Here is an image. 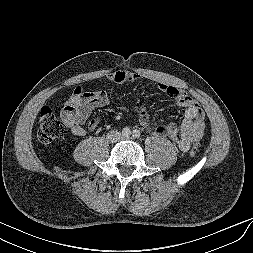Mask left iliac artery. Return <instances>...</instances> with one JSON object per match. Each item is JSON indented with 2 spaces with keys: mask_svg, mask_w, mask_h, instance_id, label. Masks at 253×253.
Instances as JSON below:
<instances>
[{
  "mask_svg": "<svg viewBox=\"0 0 253 253\" xmlns=\"http://www.w3.org/2000/svg\"><path fill=\"white\" fill-rule=\"evenodd\" d=\"M132 136L134 138H140L141 137V132L139 130H133Z\"/></svg>",
  "mask_w": 253,
  "mask_h": 253,
  "instance_id": "left-iliac-artery-1",
  "label": "left iliac artery"
}]
</instances>
